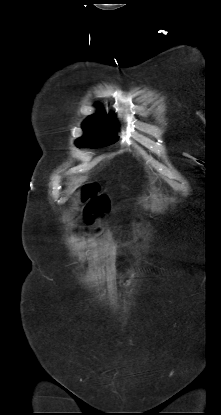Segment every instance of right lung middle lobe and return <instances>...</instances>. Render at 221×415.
Returning a JSON list of instances; mask_svg holds the SVG:
<instances>
[{
  "label": "right lung middle lobe",
  "mask_w": 221,
  "mask_h": 415,
  "mask_svg": "<svg viewBox=\"0 0 221 415\" xmlns=\"http://www.w3.org/2000/svg\"><path fill=\"white\" fill-rule=\"evenodd\" d=\"M84 135L76 140L77 147L98 148L113 144L117 128L114 115L100 112L89 116L83 123Z\"/></svg>",
  "instance_id": "1"
}]
</instances>
